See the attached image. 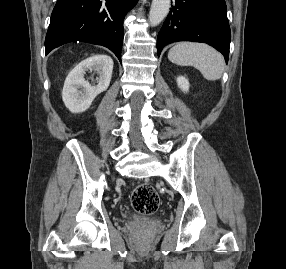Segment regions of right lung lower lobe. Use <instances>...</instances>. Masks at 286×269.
Listing matches in <instances>:
<instances>
[{"label":"right lung lower lobe","mask_w":286,"mask_h":269,"mask_svg":"<svg viewBox=\"0 0 286 269\" xmlns=\"http://www.w3.org/2000/svg\"><path fill=\"white\" fill-rule=\"evenodd\" d=\"M138 0H58L46 34V55L72 41L109 48L121 61L123 19Z\"/></svg>","instance_id":"1"}]
</instances>
